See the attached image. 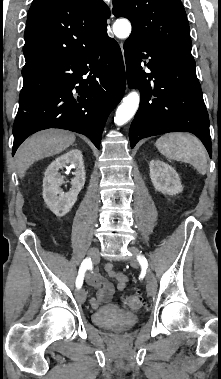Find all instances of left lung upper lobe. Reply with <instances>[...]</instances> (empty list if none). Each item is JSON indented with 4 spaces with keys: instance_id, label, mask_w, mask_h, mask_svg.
<instances>
[{
    "instance_id": "1",
    "label": "left lung upper lobe",
    "mask_w": 221,
    "mask_h": 379,
    "mask_svg": "<svg viewBox=\"0 0 221 379\" xmlns=\"http://www.w3.org/2000/svg\"><path fill=\"white\" fill-rule=\"evenodd\" d=\"M113 14L131 21V34L168 54L194 61L187 16L180 0H113Z\"/></svg>"
}]
</instances>
